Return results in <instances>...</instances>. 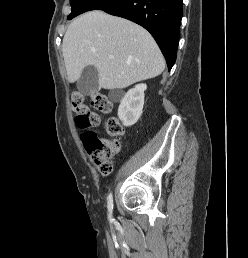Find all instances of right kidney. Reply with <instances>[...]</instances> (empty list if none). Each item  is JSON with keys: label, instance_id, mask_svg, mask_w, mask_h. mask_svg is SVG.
I'll return each mask as SVG.
<instances>
[{"label": "right kidney", "instance_id": "obj_1", "mask_svg": "<svg viewBox=\"0 0 248 258\" xmlns=\"http://www.w3.org/2000/svg\"><path fill=\"white\" fill-rule=\"evenodd\" d=\"M146 89V84H138L126 94L122 92L110 94L112 99L121 101L118 108V117L124 126H132L140 118L144 106V91Z\"/></svg>", "mask_w": 248, "mask_h": 258}]
</instances>
